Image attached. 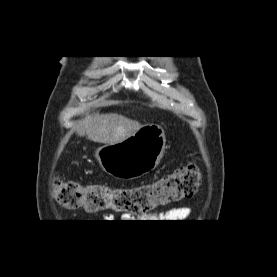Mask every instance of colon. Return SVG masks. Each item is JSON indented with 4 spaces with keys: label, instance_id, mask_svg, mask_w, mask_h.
<instances>
[{
    "label": "colon",
    "instance_id": "colon-1",
    "mask_svg": "<svg viewBox=\"0 0 277 277\" xmlns=\"http://www.w3.org/2000/svg\"><path fill=\"white\" fill-rule=\"evenodd\" d=\"M201 182L199 167L190 163L152 183L131 188L99 184L53 181L55 200L69 209L84 208L89 212L111 210L142 216L158 206L191 197Z\"/></svg>",
    "mask_w": 277,
    "mask_h": 277
}]
</instances>
